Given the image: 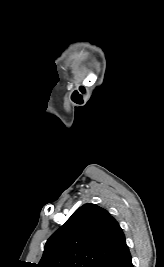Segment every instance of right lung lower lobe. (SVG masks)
<instances>
[{
  "mask_svg": "<svg viewBox=\"0 0 164 267\" xmlns=\"http://www.w3.org/2000/svg\"><path fill=\"white\" fill-rule=\"evenodd\" d=\"M99 267H134L128 246L125 245L115 254L99 265Z\"/></svg>",
  "mask_w": 164,
  "mask_h": 267,
  "instance_id": "1",
  "label": "right lung lower lobe"
}]
</instances>
